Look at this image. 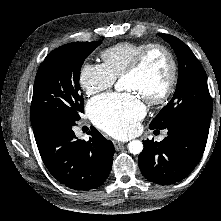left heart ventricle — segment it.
<instances>
[{
    "label": "left heart ventricle",
    "mask_w": 221,
    "mask_h": 221,
    "mask_svg": "<svg viewBox=\"0 0 221 221\" xmlns=\"http://www.w3.org/2000/svg\"><path fill=\"white\" fill-rule=\"evenodd\" d=\"M168 61L161 51H153L142 70L123 78L125 88L142 97H153L162 92L168 76Z\"/></svg>",
    "instance_id": "b2bd125f"
}]
</instances>
